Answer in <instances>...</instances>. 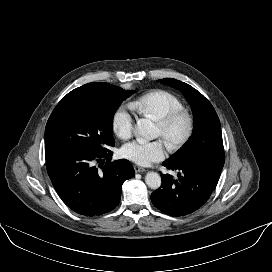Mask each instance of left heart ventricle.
Wrapping results in <instances>:
<instances>
[{"instance_id": "1", "label": "left heart ventricle", "mask_w": 272, "mask_h": 272, "mask_svg": "<svg viewBox=\"0 0 272 272\" xmlns=\"http://www.w3.org/2000/svg\"><path fill=\"white\" fill-rule=\"evenodd\" d=\"M184 128H185L184 122L178 121L165 135L162 129L159 126H157V135L162 137L165 142L167 140H174L182 135Z\"/></svg>"}]
</instances>
